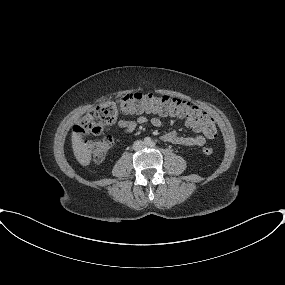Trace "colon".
Returning a JSON list of instances; mask_svg holds the SVG:
<instances>
[{
  "label": "colon",
  "mask_w": 285,
  "mask_h": 285,
  "mask_svg": "<svg viewBox=\"0 0 285 285\" xmlns=\"http://www.w3.org/2000/svg\"><path fill=\"white\" fill-rule=\"evenodd\" d=\"M118 112L143 113L152 112L161 115H174L184 118L197 130L205 135L215 138L217 134L214 119L205 111L189 102L167 95L154 93H127L118 98L116 103L106 102L94 107L81 117L74 127L75 134L82 139L99 134L104 127L115 122ZM95 161L100 162L109 153L112 140L105 138L100 141L88 142ZM203 153L211 155L212 147L203 148Z\"/></svg>",
  "instance_id": "1"
}]
</instances>
